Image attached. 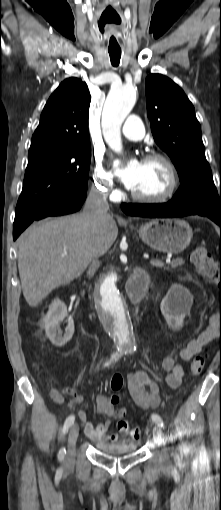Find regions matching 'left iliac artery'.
Here are the masks:
<instances>
[{"label":"left iliac artery","instance_id":"left-iliac-artery-1","mask_svg":"<svg viewBox=\"0 0 221 510\" xmlns=\"http://www.w3.org/2000/svg\"><path fill=\"white\" fill-rule=\"evenodd\" d=\"M152 420L157 423L160 427L164 428L165 427V423L163 421V419L158 415V414H152L151 416Z\"/></svg>","mask_w":221,"mask_h":510}]
</instances>
